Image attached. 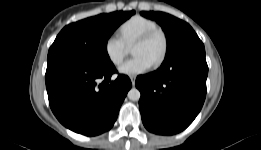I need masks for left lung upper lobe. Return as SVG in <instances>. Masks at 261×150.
Returning a JSON list of instances; mask_svg holds the SVG:
<instances>
[{"label": "left lung upper lobe", "instance_id": "1", "mask_svg": "<svg viewBox=\"0 0 261 150\" xmlns=\"http://www.w3.org/2000/svg\"><path fill=\"white\" fill-rule=\"evenodd\" d=\"M141 15L155 20L163 28L167 38V53L171 52L186 38L196 35L188 23L169 14L163 12L142 11Z\"/></svg>", "mask_w": 261, "mask_h": 150}]
</instances>
